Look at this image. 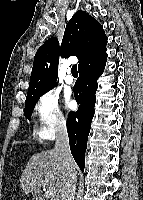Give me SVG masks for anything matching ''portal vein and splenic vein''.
<instances>
[{
  "mask_svg": "<svg viewBox=\"0 0 143 200\" xmlns=\"http://www.w3.org/2000/svg\"><path fill=\"white\" fill-rule=\"evenodd\" d=\"M43 187H44V191H45V197H46L47 199L53 200V194H52L51 192L47 191V190L45 189V186H43Z\"/></svg>",
  "mask_w": 143,
  "mask_h": 200,
  "instance_id": "1",
  "label": "portal vein and splenic vein"
}]
</instances>
